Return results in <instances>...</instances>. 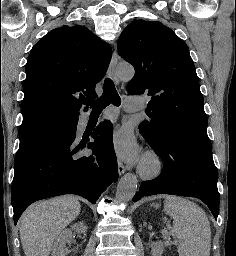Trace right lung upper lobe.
I'll return each mask as SVG.
<instances>
[{"label": "right lung upper lobe", "mask_w": 236, "mask_h": 256, "mask_svg": "<svg viewBox=\"0 0 236 256\" xmlns=\"http://www.w3.org/2000/svg\"><path fill=\"white\" fill-rule=\"evenodd\" d=\"M112 49L83 26H62L45 35L26 64L23 120L42 113L78 119L85 98L97 97ZM87 110V108H86Z\"/></svg>", "instance_id": "obj_1"}]
</instances>
